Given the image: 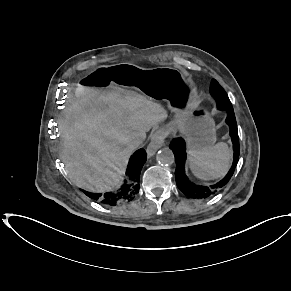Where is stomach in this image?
Instances as JSON below:
<instances>
[{"mask_svg":"<svg viewBox=\"0 0 291 291\" xmlns=\"http://www.w3.org/2000/svg\"><path fill=\"white\" fill-rule=\"evenodd\" d=\"M82 86L102 90L115 84L134 88L151 100H164L175 114L172 127L186 137L191 150L212 146L215 124L205 109L198 107L196 90L187 73L173 67L141 68L132 64L102 65L80 79Z\"/></svg>","mask_w":291,"mask_h":291,"instance_id":"0dacf381","label":"stomach"}]
</instances>
